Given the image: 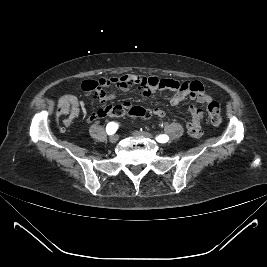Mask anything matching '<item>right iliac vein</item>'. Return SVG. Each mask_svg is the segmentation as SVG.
Returning a JSON list of instances; mask_svg holds the SVG:
<instances>
[{
    "instance_id": "right-iliac-vein-1",
    "label": "right iliac vein",
    "mask_w": 267,
    "mask_h": 267,
    "mask_svg": "<svg viewBox=\"0 0 267 267\" xmlns=\"http://www.w3.org/2000/svg\"><path fill=\"white\" fill-rule=\"evenodd\" d=\"M119 140V136L117 134H114L110 136L109 141L110 143H116Z\"/></svg>"
}]
</instances>
